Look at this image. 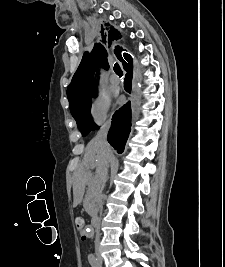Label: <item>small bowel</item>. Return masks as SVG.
Here are the masks:
<instances>
[{
	"label": "small bowel",
	"instance_id": "1",
	"mask_svg": "<svg viewBox=\"0 0 225 267\" xmlns=\"http://www.w3.org/2000/svg\"><path fill=\"white\" fill-rule=\"evenodd\" d=\"M87 237H88L87 232H84V234H81V235H80V238H81L82 240H86Z\"/></svg>",
	"mask_w": 225,
	"mask_h": 267
}]
</instances>
